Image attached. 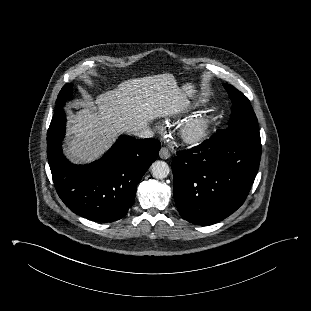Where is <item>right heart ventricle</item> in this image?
<instances>
[{
	"mask_svg": "<svg viewBox=\"0 0 311 311\" xmlns=\"http://www.w3.org/2000/svg\"><path fill=\"white\" fill-rule=\"evenodd\" d=\"M200 104H201V102H195V103L191 104L190 106H188L186 108V111H191V110L197 108Z\"/></svg>",
	"mask_w": 311,
	"mask_h": 311,
	"instance_id": "obj_1",
	"label": "right heart ventricle"
}]
</instances>
